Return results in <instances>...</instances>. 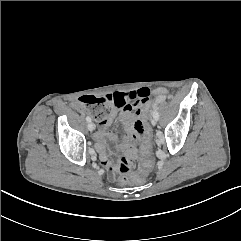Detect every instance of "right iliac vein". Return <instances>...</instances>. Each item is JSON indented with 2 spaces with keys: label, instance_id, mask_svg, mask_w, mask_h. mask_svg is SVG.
<instances>
[{
  "label": "right iliac vein",
  "instance_id": "63e3f726",
  "mask_svg": "<svg viewBox=\"0 0 241 241\" xmlns=\"http://www.w3.org/2000/svg\"><path fill=\"white\" fill-rule=\"evenodd\" d=\"M94 129H95V124L92 123V122H89V123H88V130H89V131H93Z\"/></svg>",
  "mask_w": 241,
  "mask_h": 241
}]
</instances>
